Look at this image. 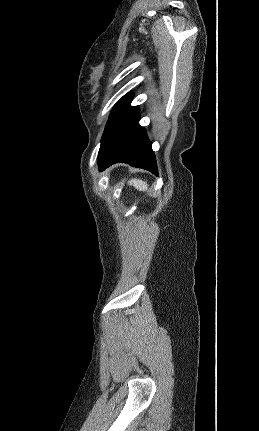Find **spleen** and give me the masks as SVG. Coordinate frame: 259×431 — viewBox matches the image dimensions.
Here are the masks:
<instances>
[{
	"instance_id": "obj_1",
	"label": "spleen",
	"mask_w": 259,
	"mask_h": 431,
	"mask_svg": "<svg viewBox=\"0 0 259 431\" xmlns=\"http://www.w3.org/2000/svg\"><path fill=\"white\" fill-rule=\"evenodd\" d=\"M128 184L134 186L139 191H143L144 192V191L148 190V184H147V182L142 181L140 179L133 178V179H131V180L128 181Z\"/></svg>"
}]
</instances>
